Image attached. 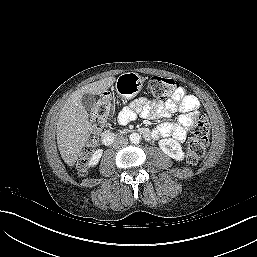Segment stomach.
Listing matches in <instances>:
<instances>
[{
  "label": "stomach",
  "mask_w": 257,
  "mask_h": 257,
  "mask_svg": "<svg viewBox=\"0 0 257 257\" xmlns=\"http://www.w3.org/2000/svg\"><path fill=\"white\" fill-rule=\"evenodd\" d=\"M142 87L143 78L138 73H123L116 80V91L125 99L134 98Z\"/></svg>",
  "instance_id": "0dacf381"
}]
</instances>
